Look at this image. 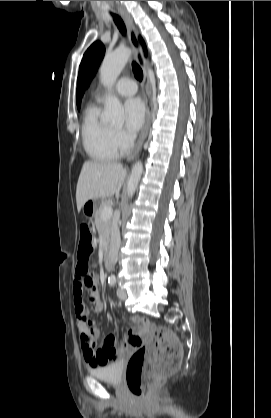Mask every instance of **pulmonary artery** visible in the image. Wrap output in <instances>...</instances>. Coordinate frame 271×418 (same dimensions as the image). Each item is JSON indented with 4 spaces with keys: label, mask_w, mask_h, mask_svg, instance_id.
<instances>
[{
    "label": "pulmonary artery",
    "mask_w": 271,
    "mask_h": 418,
    "mask_svg": "<svg viewBox=\"0 0 271 418\" xmlns=\"http://www.w3.org/2000/svg\"><path fill=\"white\" fill-rule=\"evenodd\" d=\"M114 90L118 95L121 96H132L137 92V85L136 83L130 78H120L115 86ZM104 98V93L99 94L97 97V101H102Z\"/></svg>",
    "instance_id": "pulmonary-artery-1"
}]
</instances>
